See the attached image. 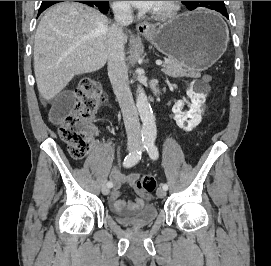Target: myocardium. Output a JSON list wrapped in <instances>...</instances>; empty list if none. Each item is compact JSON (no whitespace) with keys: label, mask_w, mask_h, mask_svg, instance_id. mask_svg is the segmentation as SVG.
I'll return each instance as SVG.
<instances>
[{"label":"myocardium","mask_w":271,"mask_h":266,"mask_svg":"<svg viewBox=\"0 0 271 266\" xmlns=\"http://www.w3.org/2000/svg\"><path fill=\"white\" fill-rule=\"evenodd\" d=\"M180 9V1H163V6L153 11V16L158 19L173 17Z\"/></svg>","instance_id":"f54148a6"}]
</instances>
